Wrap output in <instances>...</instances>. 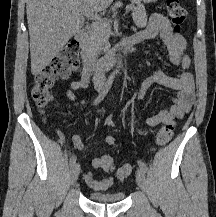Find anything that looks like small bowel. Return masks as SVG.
I'll return each instance as SVG.
<instances>
[{
  "label": "small bowel",
  "mask_w": 216,
  "mask_h": 217,
  "mask_svg": "<svg viewBox=\"0 0 216 217\" xmlns=\"http://www.w3.org/2000/svg\"><path fill=\"white\" fill-rule=\"evenodd\" d=\"M138 36L141 37V41L152 40L158 37L167 48L170 61L180 69L178 77L170 76L162 71H156L143 81L137 94L138 99H141L153 84L171 88L176 92L172 98L173 104L170 107L161 108L158 113L151 116L147 120L148 125L156 127L160 124L170 123L175 119L183 118L191 109L195 98L194 78L189 71L191 58L186 52V40L180 33L173 31L169 20L163 14H154L145 30L140 32ZM88 84L89 75L81 74L66 90V97L73 102L75 100L73 92L85 88ZM72 142L77 150L84 149V144L79 135H72ZM104 143L105 146L111 147L115 144V139L113 136H106ZM107 159L112 160L109 155L101 154L93 159L92 165L95 168H102L104 161ZM83 179L88 186L99 191H105L113 184L111 178L96 179L91 172L84 173Z\"/></svg>",
  "instance_id": "1"
}]
</instances>
